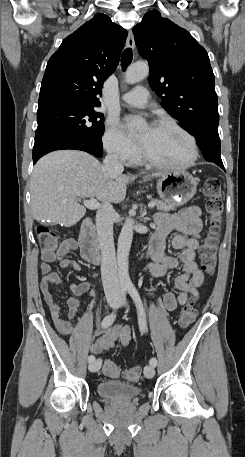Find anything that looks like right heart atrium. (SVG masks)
<instances>
[{"label":"right heart atrium","mask_w":245,"mask_h":457,"mask_svg":"<svg viewBox=\"0 0 245 457\" xmlns=\"http://www.w3.org/2000/svg\"><path fill=\"white\" fill-rule=\"evenodd\" d=\"M103 142L110 154L129 163L137 154V148L114 121H109L103 137Z\"/></svg>","instance_id":"d8ad5b80"}]
</instances>
